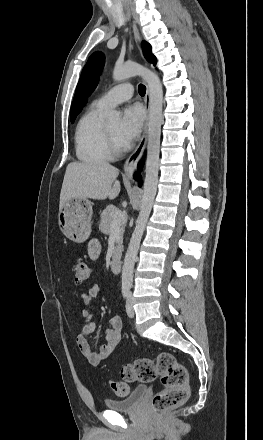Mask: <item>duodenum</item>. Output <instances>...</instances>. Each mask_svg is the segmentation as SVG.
I'll use <instances>...</instances> for the list:
<instances>
[{
    "mask_svg": "<svg viewBox=\"0 0 263 440\" xmlns=\"http://www.w3.org/2000/svg\"><path fill=\"white\" fill-rule=\"evenodd\" d=\"M122 268V261L119 256H114L111 261V269L114 273H119Z\"/></svg>",
    "mask_w": 263,
    "mask_h": 440,
    "instance_id": "obj_1",
    "label": "duodenum"
}]
</instances>
